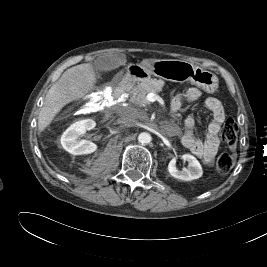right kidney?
Masks as SVG:
<instances>
[{
	"mask_svg": "<svg viewBox=\"0 0 267 267\" xmlns=\"http://www.w3.org/2000/svg\"><path fill=\"white\" fill-rule=\"evenodd\" d=\"M96 126L92 119L73 123L61 136L62 147L73 155L91 154L97 150V145L91 141L80 140L78 137Z\"/></svg>",
	"mask_w": 267,
	"mask_h": 267,
	"instance_id": "right-kidney-1",
	"label": "right kidney"
}]
</instances>
